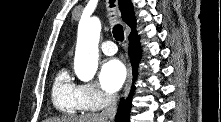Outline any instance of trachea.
Masks as SVG:
<instances>
[{"label": "trachea", "mask_w": 221, "mask_h": 122, "mask_svg": "<svg viewBox=\"0 0 221 122\" xmlns=\"http://www.w3.org/2000/svg\"><path fill=\"white\" fill-rule=\"evenodd\" d=\"M110 7H114V0H110ZM113 35H114V38L117 40V41H123L124 39V33H123V27L122 25L120 24H116L114 27H113Z\"/></svg>", "instance_id": "trachea-1"}]
</instances>
